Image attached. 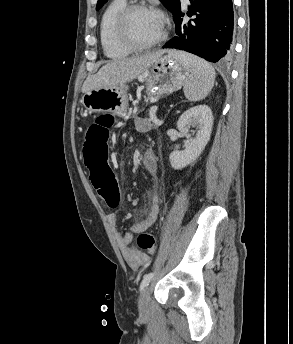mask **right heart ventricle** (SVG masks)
<instances>
[{
    "instance_id": "obj_1",
    "label": "right heart ventricle",
    "mask_w": 293,
    "mask_h": 344,
    "mask_svg": "<svg viewBox=\"0 0 293 344\" xmlns=\"http://www.w3.org/2000/svg\"><path fill=\"white\" fill-rule=\"evenodd\" d=\"M127 6V0H111L103 11L99 25L101 47L106 57L112 60L124 59L132 50L123 46L115 34V21L120 11Z\"/></svg>"
}]
</instances>
